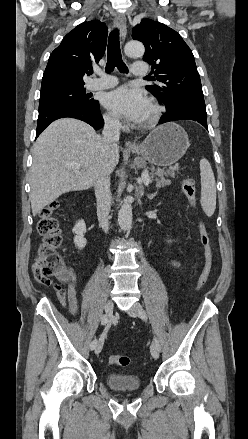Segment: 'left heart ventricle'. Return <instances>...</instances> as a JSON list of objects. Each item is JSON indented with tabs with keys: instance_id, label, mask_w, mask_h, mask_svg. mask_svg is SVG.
Returning a JSON list of instances; mask_svg holds the SVG:
<instances>
[{
	"instance_id": "left-heart-ventricle-1",
	"label": "left heart ventricle",
	"mask_w": 248,
	"mask_h": 439,
	"mask_svg": "<svg viewBox=\"0 0 248 439\" xmlns=\"http://www.w3.org/2000/svg\"><path fill=\"white\" fill-rule=\"evenodd\" d=\"M149 115H150V107L148 108L147 113H146V115H145V117H144L143 120H145L146 118H148Z\"/></svg>"
}]
</instances>
